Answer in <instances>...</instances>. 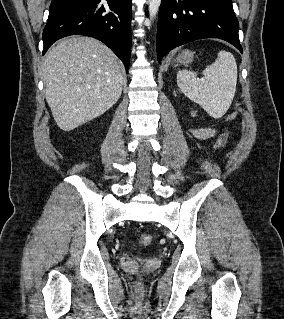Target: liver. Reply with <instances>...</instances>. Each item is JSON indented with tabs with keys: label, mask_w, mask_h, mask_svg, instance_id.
I'll use <instances>...</instances> for the list:
<instances>
[{
	"label": "liver",
	"mask_w": 284,
	"mask_h": 319,
	"mask_svg": "<svg viewBox=\"0 0 284 319\" xmlns=\"http://www.w3.org/2000/svg\"><path fill=\"white\" fill-rule=\"evenodd\" d=\"M43 73L46 101L64 131L102 115L122 93L120 62L91 37L72 36L55 43L47 53Z\"/></svg>",
	"instance_id": "obj_1"
}]
</instances>
